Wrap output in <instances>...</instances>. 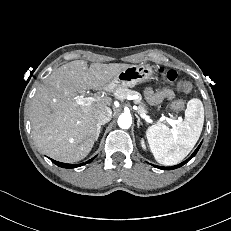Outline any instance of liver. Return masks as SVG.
Returning <instances> with one entry per match:
<instances>
[{
	"mask_svg": "<svg viewBox=\"0 0 231 231\" xmlns=\"http://www.w3.org/2000/svg\"><path fill=\"white\" fill-rule=\"evenodd\" d=\"M128 64L84 60L62 65L38 87L30 107L32 136L49 157L66 163L84 159L97 135L96 111L111 105L110 98L79 105L78 93L101 88L112 91L113 78Z\"/></svg>",
	"mask_w": 231,
	"mask_h": 231,
	"instance_id": "obj_1",
	"label": "liver"
}]
</instances>
